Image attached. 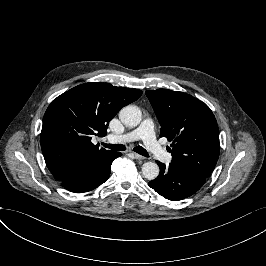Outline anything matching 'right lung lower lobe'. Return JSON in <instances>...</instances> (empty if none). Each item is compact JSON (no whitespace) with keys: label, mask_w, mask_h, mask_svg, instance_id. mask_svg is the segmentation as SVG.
Masks as SVG:
<instances>
[{"label":"right lung lower lobe","mask_w":266,"mask_h":266,"mask_svg":"<svg viewBox=\"0 0 266 266\" xmlns=\"http://www.w3.org/2000/svg\"><path fill=\"white\" fill-rule=\"evenodd\" d=\"M121 153L108 151L105 154L77 162L60 181L61 185L74 193L91 191L107 181L114 159Z\"/></svg>","instance_id":"1"}]
</instances>
